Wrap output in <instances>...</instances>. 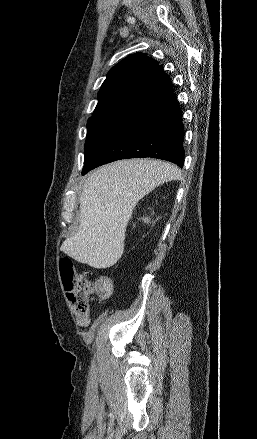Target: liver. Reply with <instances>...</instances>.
Here are the masks:
<instances>
[{"instance_id": "6515ba94", "label": "liver", "mask_w": 257, "mask_h": 439, "mask_svg": "<svg viewBox=\"0 0 257 439\" xmlns=\"http://www.w3.org/2000/svg\"><path fill=\"white\" fill-rule=\"evenodd\" d=\"M180 175L175 165L153 159H127L96 169L84 183L79 228L61 251L93 268L113 266L124 252L126 227L138 201Z\"/></svg>"}]
</instances>
